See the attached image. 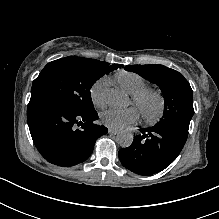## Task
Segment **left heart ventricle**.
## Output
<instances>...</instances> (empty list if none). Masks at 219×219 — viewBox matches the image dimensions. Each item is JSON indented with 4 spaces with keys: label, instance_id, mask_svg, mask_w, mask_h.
Masks as SVG:
<instances>
[{
    "label": "left heart ventricle",
    "instance_id": "left-heart-ventricle-1",
    "mask_svg": "<svg viewBox=\"0 0 219 219\" xmlns=\"http://www.w3.org/2000/svg\"><path fill=\"white\" fill-rule=\"evenodd\" d=\"M130 104L135 105L138 110L142 113H144L147 116H153L158 111V101L155 97H147L140 103H134L132 100H130Z\"/></svg>",
    "mask_w": 219,
    "mask_h": 219
}]
</instances>
